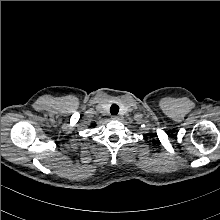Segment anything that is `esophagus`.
I'll return each instance as SVG.
<instances>
[{
    "instance_id": "1",
    "label": "esophagus",
    "mask_w": 220,
    "mask_h": 220,
    "mask_svg": "<svg viewBox=\"0 0 220 220\" xmlns=\"http://www.w3.org/2000/svg\"><path fill=\"white\" fill-rule=\"evenodd\" d=\"M111 119H112V120H118L119 117L115 115V116H112Z\"/></svg>"
}]
</instances>
